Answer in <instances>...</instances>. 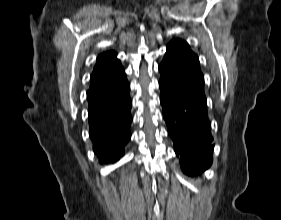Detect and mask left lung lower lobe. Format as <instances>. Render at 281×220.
<instances>
[{
    "mask_svg": "<svg viewBox=\"0 0 281 220\" xmlns=\"http://www.w3.org/2000/svg\"><path fill=\"white\" fill-rule=\"evenodd\" d=\"M159 71L160 102L175 153L185 174H200L210 167L214 146L198 56L182 48L169 50Z\"/></svg>",
    "mask_w": 281,
    "mask_h": 220,
    "instance_id": "0a47b994",
    "label": "left lung lower lobe"
}]
</instances>
